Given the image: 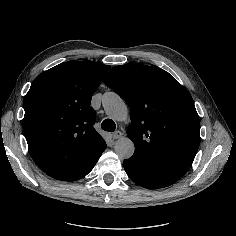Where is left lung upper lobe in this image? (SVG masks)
I'll use <instances>...</instances> for the list:
<instances>
[{"label": "left lung upper lobe", "mask_w": 236, "mask_h": 236, "mask_svg": "<svg viewBox=\"0 0 236 236\" xmlns=\"http://www.w3.org/2000/svg\"><path fill=\"white\" fill-rule=\"evenodd\" d=\"M103 82L130 107L127 128L138 156L180 179L200 145V122L189 92L157 66L114 67Z\"/></svg>", "instance_id": "left-lung-upper-lobe-1"}]
</instances>
